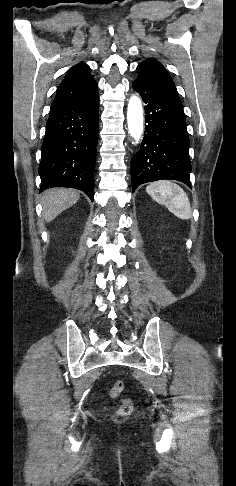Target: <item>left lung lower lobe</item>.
Returning <instances> with one entry per match:
<instances>
[{
	"instance_id": "0a47b994",
	"label": "left lung lower lobe",
	"mask_w": 236,
	"mask_h": 486,
	"mask_svg": "<svg viewBox=\"0 0 236 486\" xmlns=\"http://www.w3.org/2000/svg\"><path fill=\"white\" fill-rule=\"evenodd\" d=\"M146 106L145 134L131 160L132 193L143 183L171 179L191 187L189 137L182 103L144 80L132 82Z\"/></svg>"
}]
</instances>
